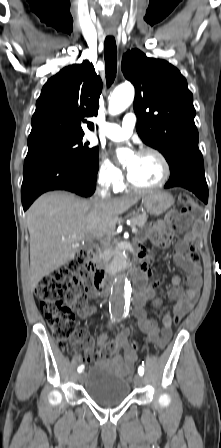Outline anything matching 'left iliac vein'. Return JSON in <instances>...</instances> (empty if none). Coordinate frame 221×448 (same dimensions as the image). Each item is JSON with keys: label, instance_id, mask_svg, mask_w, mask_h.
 <instances>
[{"label": "left iliac vein", "instance_id": "obj_1", "mask_svg": "<svg viewBox=\"0 0 221 448\" xmlns=\"http://www.w3.org/2000/svg\"><path fill=\"white\" fill-rule=\"evenodd\" d=\"M143 383V378L141 375H136L134 377V384L135 386H140Z\"/></svg>", "mask_w": 221, "mask_h": 448}]
</instances>
